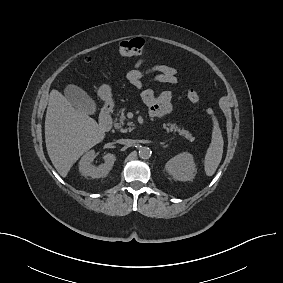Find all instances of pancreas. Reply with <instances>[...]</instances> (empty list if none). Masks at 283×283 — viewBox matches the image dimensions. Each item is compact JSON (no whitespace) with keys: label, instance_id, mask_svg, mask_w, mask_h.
I'll list each match as a JSON object with an SVG mask.
<instances>
[{"label":"pancreas","instance_id":"pancreas-1","mask_svg":"<svg viewBox=\"0 0 283 283\" xmlns=\"http://www.w3.org/2000/svg\"><path fill=\"white\" fill-rule=\"evenodd\" d=\"M124 111H125V109H121L117 113V116L119 118L115 119V124H114V127L116 129H120V131H122V132H126L128 129L131 130L132 126H133V124L131 122H129L128 123V125H129L128 129L122 128V126L124 125V121L126 120ZM162 126L167 132H173V133L177 132L180 136H183L184 138H186L187 140H189L191 142L194 141V139H195L189 131L184 130L181 127H178V125H176L175 123H167V124L164 123Z\"/></svg>","mask_w":283,"mask_h":283}]
</instances>
